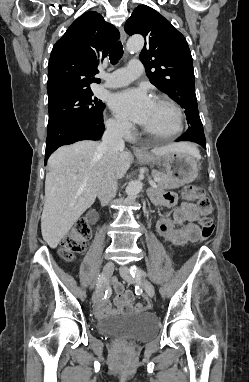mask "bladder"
<instances>
[{
    "instance_id": "obj_1",
    "label": "bladder",
    "mask_w": 249,
    "mask_h": 382,
    "mask_svg": "<svg viewBox=\"0 0 249 382\" xmlns=\"http://www.w3.org/2000/svg\"><path fill=\"white\" fill-rule=\"evenodd\" d=\"M96 330L102 336L149 340L158 332V320L154 315L146 312L114 315L98 321Z\"/></svg>"
}]
</instances>
